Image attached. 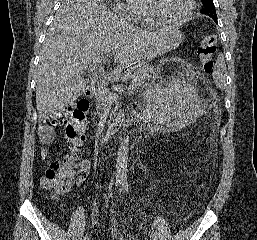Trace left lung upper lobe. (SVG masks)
<instances>
[{
	"label": "left lung upper lobe",
	"instance_id": "5c2ea615",
	"mask_svg": "<svg viewBox=\"0 0 257 240\" xmlns=\"http://www.w3.org/2000/svg\"><path fill=\"white\" fill-rule=\"evenodd\" d=\"M201 2L203 8L201 9L200 13L212 17V19L217 23L216 9L213 0H201Z\"/></svg>",
	"mask_w": 257,
	"mask_h": 240
}]
</instances>
